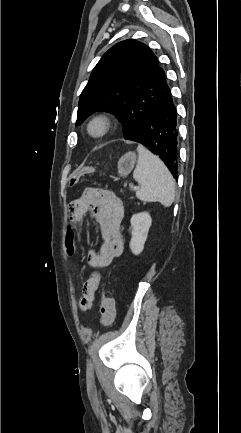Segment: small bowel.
<instances>
[{"label": "small bowel", "mask_w": 241, "mask_h": 433, "mask_svg": "<svg viewBox=\"0 0 241 433\" xmlns=\"http://www.w3.org/2000/svg\"><path fill=\"white\" fill-rule=\"evenodd\" d=\"M87 212H91L98 223L103 238L99 251L88 252L87 262L95 270L105 269L124 251V238L121 231L125 213L124 205L122 200L109 190L86 188L82 196L70 205L69 219H74V224H69V226L77 228L79 220ZM71 251H74V248ZM91 277L83 285V296L79 301L81 311L89 310L96 299L98 288L90 287Z\"/></svg>", "instance_id": "obj_1"}]
</instances>
